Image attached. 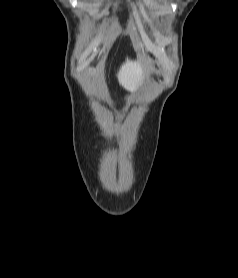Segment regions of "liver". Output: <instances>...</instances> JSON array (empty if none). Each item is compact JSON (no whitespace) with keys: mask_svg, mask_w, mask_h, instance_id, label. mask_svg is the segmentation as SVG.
Wrapping results in <instances>:
<instances>
[{"mask_svg":"<svg viewBox=\"0 0 238 278\" xmlns=\"http://www.w3.org/2000/svg\"><path fill=\"white\" fill-rule=\"evenodd\" d=\"M144 70L139 62L126 60L118 72V81L128 91H134L143 78Z\"/></svg>","mask_w":238,"mask_h":278,"instance_id":"obj_1","label":"liver"}]
</instances>
